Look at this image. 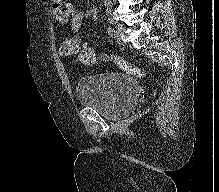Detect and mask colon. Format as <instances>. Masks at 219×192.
<instances>
[{
	"mask_svg": "<svg viewBox=\"0 0 219 192\" xmlns=\"http://www.w3.org/2000/svg\"><path fill=\"white\" fill-rule=\"evenodd\" d=\"M60 51L65 56H71L76 54L78 52L77 40L75 38L66 39L62 43L60 47ZM97 58L98 57L96 51L94 50V48L90 46L84 47L80 51L78 56L79 62L86 66H93L96 63ZM103 60L116 64L122 71H124L127 74H130L137 78L145 77V73L141 69L137 68L127 60L117 55L109 54V53L103 54Z\"/></svg>",
	"mask_w": 219,
	"mask_h": 192,
	"instance_id": "1",
	"label": "colon"
}]
</instances>
